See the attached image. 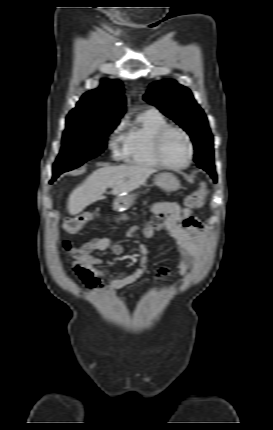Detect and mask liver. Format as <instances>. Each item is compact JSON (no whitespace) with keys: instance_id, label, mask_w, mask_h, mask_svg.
<instances>
[{"instance_id":"1","label":"liver","mask_w":273,"mask_h":430,"mask_svg":"<svg viewBox=\"0 0 273 430\" xmlns=\"http://www.w3.org/2000/svg\"><path fill=\"white\" fill-rule=\"evenodd\" d=\"M156 170L143 165L104 166L89 175L68 198L67 209L71 215L80 213L90 204L104 199L107 188L114 195L128 193L144 184Z\"/></svg>"}]
</instances>
